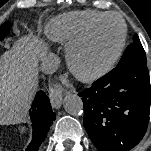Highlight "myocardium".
<instances>
[{"instance_id": "f54148a6", "label": "myocardium", "mask_w": 151, "mask_h": 151, "mask_svg": "<svg viewBox=\"0 0 151 151\" xmlns=\"http://www.w3.org/2000/svg\"><path fill=\"white\" fill-rule=\"evenodd\" d=\"M111 18L118 20L122 27L121 38L114 54L104 64L98 67H95V68L85 67L80 61V55L82 51L88 44L89 40L91 39L97 27L105 20L111 19ZM127 32L128 30H127L126 21L123 19L122 16H120L117 13H114V12L106 13L103 16L96 19L85 31V33L76 41L71 43L67 49L68 65L72 73L78 79L84 82L95 81L103 77L107 73H109L117 64L120 57L122 56V53L126 44V40H127Z\"/></svg>"}]
</instances>
